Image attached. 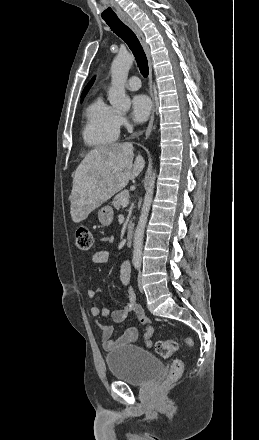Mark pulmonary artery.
I'll use <instances>...</instances> for the list:
<instances>
[{"label": "pulmonary artery", "mask_w": 259, "mask_h": 440, "mask_svg": "<svg viewBox=\"0 0 259 440\" xmlns=\"http://www.w3.org/2000/svg\"><path fill=\"white\" fill-rule=\"evenodd\" d=\"M126 87L129 90H138L141 87V81L139 77L137 76L130 77L126 83Z\"/></svg>", "instance_id": "pulmonary-artery-1"}]
</instances>
